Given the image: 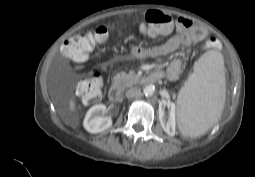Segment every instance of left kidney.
I'll list each match as a JSON object with an SVG mask.
<instances>
[{"instance_id": "left-kidney-1", "label": "left kidney", "mask_w": 255, "mask_h": 177, "mask_svg": "<svg viewBox=\"0 0 255 177\" xmlns=\"http://www.w3.org/2000/svg\"><path fill=\"white\" fill-rule=\"evenodd\" d=\"M165 105L168 107L169 113L168 115H165L164 110L160 106L159 108L160 123L167 134L174 135L176 127L175 104L172 102H165Z\"/></svg>"}]
</instances>
